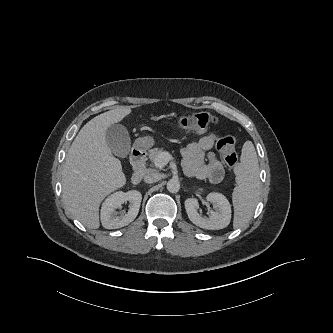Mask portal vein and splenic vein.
<instances>
[{
	"instance_id": "obj_1",
	"label": "portal vein and splenic vein",
	"mask_w": 333,
	"mask_h": 333,
	"mask_svg": "<svg viewBox=\"0 0 333 333\" xmlns=\"http://www.w3.org/2000/svg\"><path fill=\"white\" fill-rule=\"evenodd\" d=\"M170 160H172V156L168 152L164 151L156 158L154 164L156 167L162 168L167 165Z\"/></svg>"
}]
</instances>
